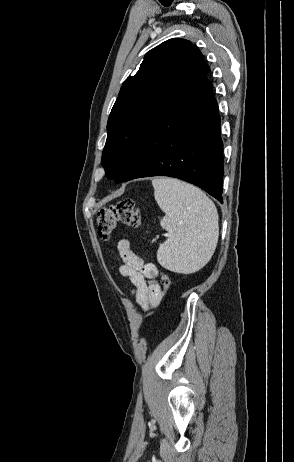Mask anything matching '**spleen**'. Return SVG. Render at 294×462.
Returning a JSON list of instances; mask_svg holds the SVG:
<instances>
[{"mask_svg": "<svg viewBox=\"0 0 294 462\" xmlns=\"http://www.w3.org/2000/svg\"><path fill=\"white\" fill-rule=\"evenodd\" d=\"M152 185L155 200L165 213L160 224L169 234L157 251L158 262L177 273L200 270L218 242L215 204L199 188L178 179L156 178Z\"/></svg>", "mask_w": 294, "mask_h": 462, "instance_id": "obj_1", "label": "spleen"}]
</instances>
